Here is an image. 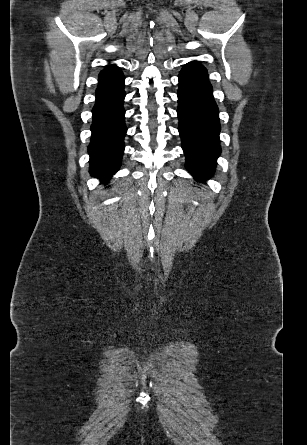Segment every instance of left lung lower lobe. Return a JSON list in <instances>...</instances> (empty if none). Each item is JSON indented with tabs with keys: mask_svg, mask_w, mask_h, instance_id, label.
<instances>
[{
	"mask_svg": "<svg viewBox=\"0 0 307 445\" xmlns=\"http://www.w3.org/2000/svg\"><path fill=\"white\" fill-rule=\"evenodd\" d=\"M179 133L187 169L198 179L211 176L221 149L219 114L207 70L198 62L179 73Z\"/></svg>",
	"mask_w": 307,
	"mask_h": 445,
	"instance_id": "obj_1",
	"label": "left lung lower lobe"
}]
</instances>
